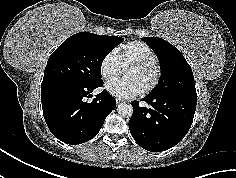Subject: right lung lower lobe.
<instances>
[{
  "instance_id": "98d812e1",
  "label": "right lung lower lobe",
  "mask_w": 236,
  "mask_h": 178,
  "mask_svg": "<svg viewBox=\"0 0 236 178\" xmlns=\"http://www.w3.org/2000/svg\"><path fill=\"white\" fill-rule=\"evenodd\" d=\"M102 84L88 86L63 81L41 84L43 115L57 139L67 144H81L97 135L116 107L115 98L105 90L92 102H86V97H92L93 90Z\"/></svg>"
}]
</instances>
